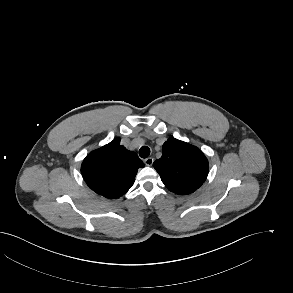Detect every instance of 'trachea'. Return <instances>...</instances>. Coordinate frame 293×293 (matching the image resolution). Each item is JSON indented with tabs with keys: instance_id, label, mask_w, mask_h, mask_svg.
I'll use <instances>...</instances> for the list:
<instances>
[{
	"instance_id": "1",
	"label": "trachea",
	"mask_w": 293,
	"mask_h": 293,
	"mask_svg": "<svg viewBox=\"0 0 293 293\" xmlns=\"http://www.w3.org/2000/svg\"><path fill=\"white\" fill-rule=\"evenodd\" d=\"M139 155L141 158H147L150 155V149L147 146H143L139 150Z\"/></svg>"
}]
</instances>
